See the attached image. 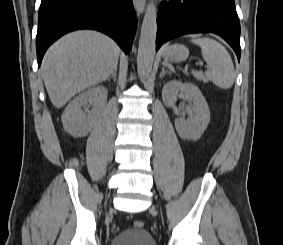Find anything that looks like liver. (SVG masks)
<instances>
[{"instance_id": "liver-1", "label": "liver", "mask_w": 283, "mask_h": 245, "mask_svg": "<svg viewBox=\"0 0 283 245\" xmlns=\"http://www.w3.org/2000/svg\"><path fill=\"white\" fill-rule=\"evenodd\" d=\"M120 49L96 31H76L55 42L41 65L52 104L63 107L76 94L99 84L117 68Z\"/></svg>"}]
</instances>
